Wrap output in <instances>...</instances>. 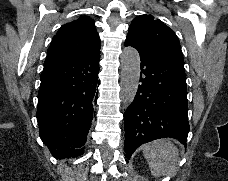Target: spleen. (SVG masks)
Here are the masks:
<instances>
[{"label":"spleen","instance_id":"obj_1","mask_svg":"<svg viewBox=\"0 0 228 181\" xmlns=\"http://www.w3.org/2000/svg\"><path fill=\"white\" fill-rule=\"evenodd\" d=\"M142 153L147 159L153 177H175L179 163L177 147L168 139H159L143 145Z\"/></svg>","mask_w":228,"mask_h":181}]
</instances>
